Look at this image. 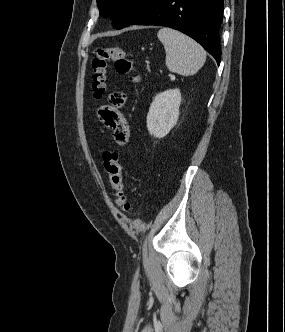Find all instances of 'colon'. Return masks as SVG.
Segmentation results:
<instances>
[{
	"label": "colon",
	"instance_id": "colon-1",
	"mask_svg": "<svg viewBox=\"0 0 285 332\" xmlns=\"http://www.w3.org/2000/svg\"><path fill=\"white\" fill-rule=\"evenodd\" d=\"M110 65H114L120 74H129L133 83L142 82V76L137 73L135 62L129 58L120 46H99L95 49L91 59V87L93 95L100 98L107 88V74ZM103 164L108 176L116 204L125 212L131 211L126 200L122 178V170L118 153L105 151Z\"/></svg>",
	"mask_w": 285,
	"mask_h": 332
}]
</instances>
